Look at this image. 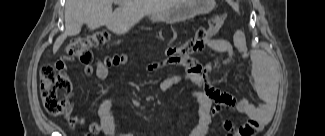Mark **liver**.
Listing matches in <instances>:
<instances>
[{
	"label": "liver",
	"instance_id": "liver-1",
	"mask_svg": "<svg viewBox=\"0 0 325 136\" xmlns=\"http://www.w3.org/2000/svg\"><path fill=\"white\" fill-rule=\"evenodd\" d=\"M67 0L65 4V31L55 41L56 53L68 36L78 35L83 24L90 30L106 27L115 34L127 33L143 17L162 13L176 6L180 0Z\"/></svg>",
	"mask_w": 325,
	"mask_h": 136
}]
</instances>
